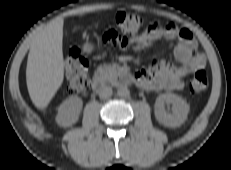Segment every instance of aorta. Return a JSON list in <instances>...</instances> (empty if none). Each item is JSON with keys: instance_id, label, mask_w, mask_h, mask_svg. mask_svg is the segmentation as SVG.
<instances>
[{"instance_id": "aorta-1", "label": "aorta", "mask_w": 231, "mask_h": 170, "mask_svg": "<svg viewBox=\"0 0 231 170\" xmlns=\"http://www.w3.org/2000/svg\"><path fill=\"white\" fill-rule=\"evenodd\" d=\"M117 94L120 97H128L130 95V91H129V89L127 87L122 86V87L118 88Z\"/></svg>"}]
</instances>
